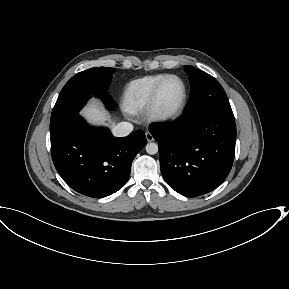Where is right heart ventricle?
Instances as JSON below:
<instances>
[{
	"label": "right heart ventricle",
	"mask_w": 289,
	"mask_h": 289,
	"mask_svg": "<svg viewBox=\"0 0 289 289\" xmlns=\"http://www.w3.org/2000/svg\"><path fill=\"white\" fill-rule=\"evenodd\" d=\"M166 75H147L131 81L122 96L123 108L133 114L146 110L154 88Z\"/></svg>",
	"instance_id": "1"
}]
</instances>
